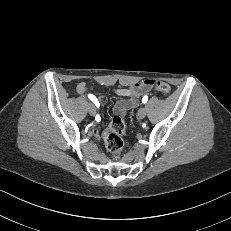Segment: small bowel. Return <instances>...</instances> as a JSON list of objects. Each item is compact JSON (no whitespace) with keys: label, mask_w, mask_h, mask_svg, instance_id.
I'll return each instance as SVG.
<instances>
[{"label":"small bowel","mask_w":231,"mask_h":231,"mask_svg":"<svg viewBox=\"0 0 231 231\" xmlns=\"http://www.w3.org/2000/svg\"><path fill=\"white\" fill-rule=\"evenodd\" d=\"M151 87L152 80H145L140 83H136L129 88L116 89L115 94L122 97V99L116 103L114 107V113L118 115H123L128 110L135 108L139 104L140 96L148 91ZM76 92L82 95L88 93L87 84L85 82H80L76 86ZM97 100L99 106L104 105L107 102V98L105 96H99ZM93 132L95 136H99L98 130L96 128L93 129Z\"/></svg>","instance_id":"small-bowel-1"}]
</instances>
